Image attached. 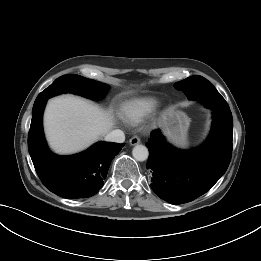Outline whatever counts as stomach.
Instances as JSON below:
<instances>
[{"label":"stomach","instance_id":"1","mask_svg":"<svg viewBox=\"0 0 261 261\" xmlns=\"http://www.w3.org/2000/svg\"><path fill=\"white\" fill-rule=\"evenodd\" d=\"M159 124L170 142L179 147L187 146V131L190 119L185 113L174 108H168L163 112Z\"/></svg>","mask_w":261,"mask_h":261}]
</instances>
